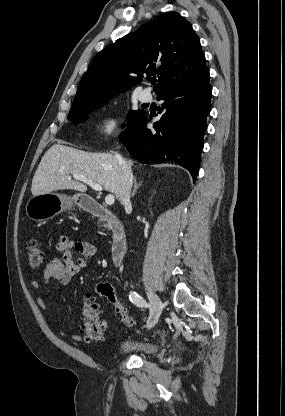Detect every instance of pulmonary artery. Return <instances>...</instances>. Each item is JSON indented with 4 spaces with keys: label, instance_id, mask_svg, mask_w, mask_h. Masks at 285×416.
Masks as SVG:
<instances>
[{
    "label": "pulmonary artery",
    "instance_id": "e3ab8cb5",
    "mask_svg": "<svg viewBox=\"0 0 285 416\" xmlns=\"http://www.w3.org/2000/svg\"><path fill=\"white\" fill-rule=\"evenodd\" d=\"M138 98L143 103H151L153 99L151 93L146 88L140 89V94Z\"/></svg>",
    "mask_w": 285,
    "mask_h": 416
}]
</instances>
